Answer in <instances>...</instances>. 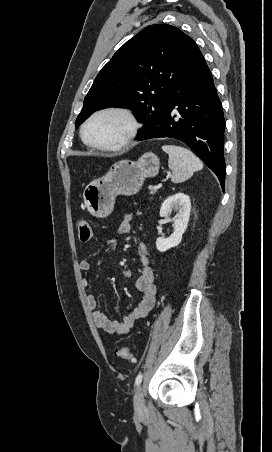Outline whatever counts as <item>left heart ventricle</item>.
<instances>
[{
  "label": "left heart ventricle",
  "mask_w": 272,
  "mask_h": 452,
  "mask_svg": "<svg viewBox=\"0 0 272 452\" xmlns=\"http://www.w3.org/2000/svg\"><path fill=\"white\" fill-rule=\"evenodd\" d=\"M127 131L126 120L116 114H105L95 118L86 129L88 141L97 144L119 142Z\"/></svg>",
  "instance_id": "b2bd125f"
}]
</instances>
